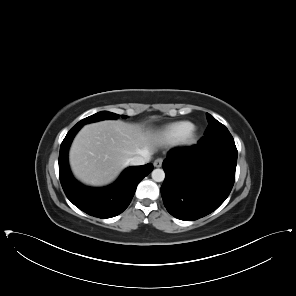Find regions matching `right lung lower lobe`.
I'll return each instance as SVG.
<instances>
[{
  "mask_svg": "<svg viewBox=\"0 0 296 296\" xmlns=\"http://www.w3.org/2000/svg\"><path fill=\"white\" fill-rule=\"evenodd\" d=\"M80 128L75 125L60 146L59 177L62 188L67 198L83 212L99 218L117 216L128 207L138 183L153 170V165L129 167L115 183L104 188L82 185L73 178L68 165V149Z\"/></svg>",
  "mask_w": 296,
  "mask_h": 296,
  "instance_id": "right-lung-lower-lobe-1",
  "label": "right lung lower lobe"
}]
</instances>
